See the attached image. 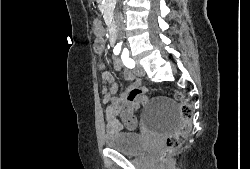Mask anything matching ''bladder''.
I'll return each instance as SVG.
<instances>
[{
	"label": "bladder",
	"mask_w": 250,
	"mask_h": 169,
	"mask_svg": "<svg viewBox=\"0 0 250 169\" xmlns=\"http://www.w3.org/2000/svg\"><path fill=\"white\" fill-rule=\"evenodd\" d=\"M104 142L108 150L126 155H142L150 146L143 145L140 134L136 133H112L105 137Z\"/></svg>",
	"instance_id": "bladder-1"
}]
</instances>
